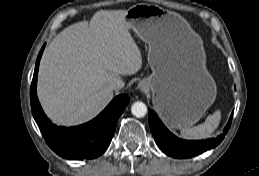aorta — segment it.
Masks as SVG:
<instances>
[{"mask_svg": "<svg viewBox=\"0 0 259 176\" xmlns=\"http://www.w3.org/2000/svg\"><path fill=\"white\" fill-rule=\"evenodd\" d=\"M131 112L138 118L144 117L147 114V106L143 102H134L131 106Z\"/></svg>", "mask_w": 259, "mask_h": 176, "instance_id": "aorta-1", "label": "aorta"}]
</instances>
